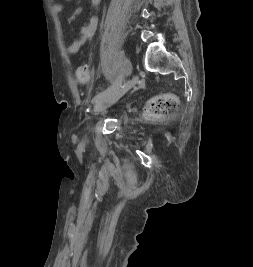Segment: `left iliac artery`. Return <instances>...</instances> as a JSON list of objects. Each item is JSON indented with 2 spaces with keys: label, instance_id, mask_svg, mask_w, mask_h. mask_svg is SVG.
I'll use <instances>...</instances> for the list:
<instances>
[{
  "label": "left iliac artery",
  "instance_id": "44dca946",
  "mask_svg": "<svg viewBox=\"0 0 253 267\" xmlns=\"http://www.w3.org/2000/svg\"><path fill=\"white\" fill-rule=\"evenodd\" d=\"M122 80H123V76L120 75L112 86H108L102 93L97 94L92 99V102L97 103L101 99H103L107 94L111 93L113 90L119 89L122 86Z\"/></svg>",
  "mask_w": 253,
  "mask_h": 267
}]
</instances>
